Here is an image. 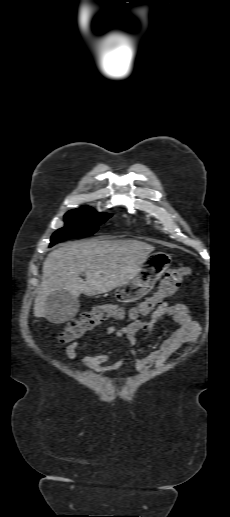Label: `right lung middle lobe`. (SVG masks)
<instances>
[{
	"instance_id": "right-lung-middle-lobe-1",
	"label": "right lung middle lobe",
	"mask_w": 230,
	"mask_h": 517,
	"mask_svg": "<svg viewBox=\"0 0 230 517\" xmlns=\"http://www.w3.org/2000/svg\"><path fill=\"white\" fill-rule=\"evenodd\" d=\"M110 217V214L96 213L92 208L86 206L70 210L64 216L65 227L54 232L50 246L69 238L92 235L97 231L98 226Z\"/></svg>"
}]
</instances>
